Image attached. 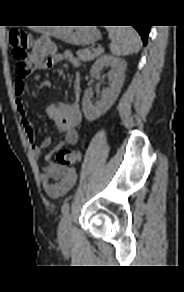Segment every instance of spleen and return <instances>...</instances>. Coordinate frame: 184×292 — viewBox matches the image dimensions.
Listing matches in <instances>:
<instances>
[{
    "label": "spleen",
    "mask_w": 184,
    "mask_h": 292,
    "mask_svg": "<svg viewBox=\"0 0 184 292\" xmlns=\"http://www.w3.org/2000/svg\"><path fill=\"white\" fill-rule=\"evenodd\" d=\"M107 31L111 39L110 50L113 55L127 56L139 52L141 39L134 28L108 27Z\"/></svg>",
    "instance_id": "3e777b00"
}]
</instances>
